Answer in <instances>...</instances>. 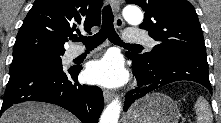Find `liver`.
I'll return each mask as SVG.
<instances>
[{"mask_svg":"<svg viewBox=\"0 0 221 123\" xmlns=\"http://www.w3.org/2000/svg\"><path fill=\"white\" fill-rule=\"evenodd\" d=\"M0 123H79V121L58 106L24 102L6 110L0 117Z\"/></svg>","mask_w":221,"mask_h":123,"instance_id":"obj_1","label":"liver"}]
</instances>
